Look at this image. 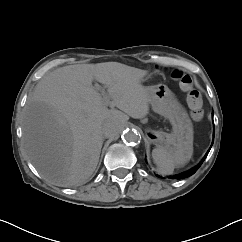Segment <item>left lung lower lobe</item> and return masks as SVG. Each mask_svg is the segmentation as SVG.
<instances>
[{"instance_id":"1","label":"left lung lower lobe","mask_w":242,"mask_h":242,"mask_svg":"<svg viewBox=\"0 0 242 242\" xmlns=\"http://www.w3.org/2000/svg\"><path fill=\"white\" fill-rule=\"evenodd\" d=\"M210 149H211V147H210ZM210 149L208 150V152L206 153V155L204 156V158L202 159V161L197 165V167L195 169H193L191 172H189L187 174H184V175H181V176L176 177V179H183L185 177H189V176L193 175L197 171V169L201 166V164L203 163V161L205 160V158L208 155Z\"/></svg>"}]
</instances>
